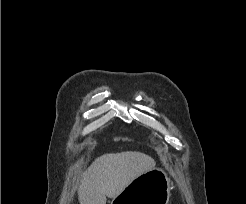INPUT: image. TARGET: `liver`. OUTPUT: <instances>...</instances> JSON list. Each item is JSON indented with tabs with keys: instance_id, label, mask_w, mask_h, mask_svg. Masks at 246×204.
Masks as SVG:
<instances>
[{
	"instance_id": "1",
	"label": "liver",
	"mask_w": 246,
	"mask_h": 204,
	"mask_svg": "<svg viewBox=\"0 0 246 204\" xmlns=\"http://www.w3.org/2000/svg\"><path fill=\"white\" fill-rule=\"evenodd\" d=\"M155 160L141 152L104 154L83 173L78 189L80 204H106L136 177L155 168Z\"/></svg>"
}]
</instances>
